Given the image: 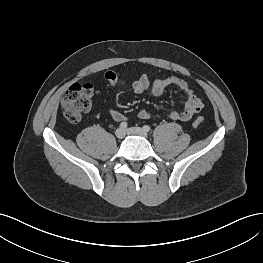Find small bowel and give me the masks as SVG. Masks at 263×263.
<instances>
[{
    "instance_id": "c3829d8e",
    "label": "small bowel",
    "mask_w": 263,
    "mask_h": 263,
    "mask_svg": "<svg viewBox=\"0 0 263 263\" xmlns=\"http://www.w3.org/2000/svg\"><path fill=\"white\" fill-rule=\"evenodd\" d=\"M104 77L107 83L112 87L126 84V81L113 71H107ZM169 86L177 87L187 98L185 107L181 111H171L168 113L167 118L169 120L188 121L200 112L203 107L201 99L182 78L170 75L152 81L148 76L143 75L132 83V89L135 93L143 94L148 92L153 96H161ZM108 115L116 122H124L127 120L126 115L118 110H109ZM137 116L142 120H147L151 117V114L148 110L141 109L138 111Z\"/></svg>"
}]
</instances>
